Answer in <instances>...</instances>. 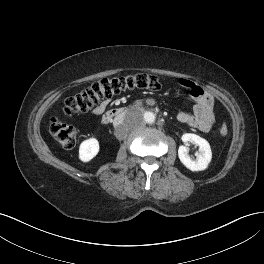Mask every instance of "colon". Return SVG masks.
Instances as JSON below:
<instances>
[{
    "instance_id": "obj_1",
    "label": "colon",
    "mask_w": 264,
    "mask_h": 264,
    "mask_svg": "<svg viewBox=\"0 0 264 264\" xmlns=\"http://www.w3.org/2000/svg\"><path fill=\"white\" fill-rule=\"evenodd\" d=\"M157 76L151 74H133L112 78H104L95 82L87 89L64 99L63 112L66 115L87 112L113 95L131 89H146L156 91L160 89ZM49 130L53 138L64 148H73L77 141V130L74 126L53 118ZM222 136L228 134V127L223 122L220 126Z\"/></svg>"
}]
</instances>
